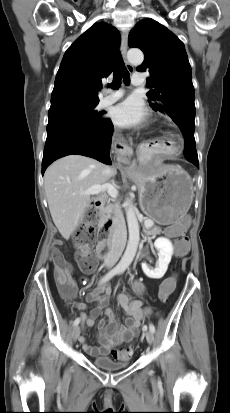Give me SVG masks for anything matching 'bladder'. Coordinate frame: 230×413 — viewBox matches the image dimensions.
<instances>
[{"mask_svg": "<svg viewBox=\"0 0 230 413\" xmlns=\"http://www.w3.org/2000/svg\"><path fill=\"white\" fill-rule=\"evenodd\" d=\"M93 364L105 371H116L126 368L129 362L118 363L109 357H96L93 359Z\"/></svg>", "mask_w": 230, "mask_h": 413, "instance_id": "obj_1", "label": "bladder"}]
</instances>
